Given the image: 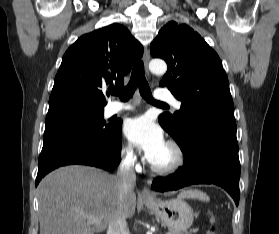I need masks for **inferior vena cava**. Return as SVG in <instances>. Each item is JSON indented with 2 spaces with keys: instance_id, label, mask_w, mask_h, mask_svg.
Here are the masks:
<instances>
[{
  "instance_id": "1",
  "label": "inferior vena cava",
  "mask_w": 279,
  "mask_h": 234,
  "mask_svg": "<svg viewBox=\"0 0 279 234\" xmlns=\"http://www.w3.org/2000/svg\"><path fill=\"white\" fill-rule=\"evenodd\" d=\"M116 180L118 181L121 194L130 192L136 184V174L134 170L133 160L127 158L123 160L118 168ZM107 234H130L126 218L117 217L108 224Z\"/></svg>"
}]
</instances>
